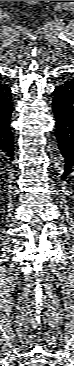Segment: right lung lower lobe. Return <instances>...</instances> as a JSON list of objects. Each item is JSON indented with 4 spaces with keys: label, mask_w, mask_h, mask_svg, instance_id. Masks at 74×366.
<instances>
[{
    "label": "right lung lower lobe",
    "mask_w": 74,
    "mask_h": 366,
    "mask_svg": "<svg viewBox=\"0 0 74 366\" xmlns=\"http://www.w3.org/2000/svg\"><path fill=\"white\" fill-rule=\"evenodd\" d=\"M11 113L12 93L10 87L1 82L0 77V155L4 154L12 161L14 158V139L10 128Z\"/></svg>",
    "instance_id": "obj_1"
}]
</instances>
